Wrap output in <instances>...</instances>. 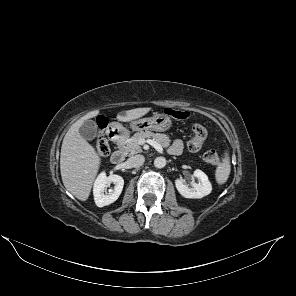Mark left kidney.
Listing matches in <instances>:
<instances>
[{
    "label": "left kidney",
    "instance_id": "obj_1",
    "mask_svg": "<svg viewBox=\"0 0 296 296\" xmlns=\"http://www.w3.org/2000/svg\"><path fill=\"white\" fill-rule=\"evenodd\" d=\"M194 176L198 178L199 183H192L189 187L181 178L175 180V186L178 192L185 198L198 199L203 198L211 193L212 185L208 176L201 170L194 171Z\"/></svg>",
    "mask_w": 296,
    "mask_h": 296
}]
</instances>
